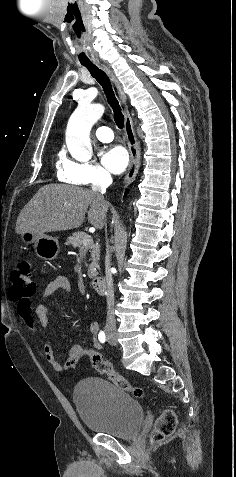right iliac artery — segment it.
Masks as SVG:
<instances>
[{
    "label": "right iliac artery",
    "instance_id": "1",
    "mask_svg": "<svg viewBox=\"0 0 236 477\" xmlns=\"http://www.w3.org/2000/svg\"><path fill=\"white\" fill-rule=\"evenodd\" d=\"M98 339H99V341H100L101 343H105V341H106V335H105L104 331H100V332H99Z\"/></svg>",
    "mask_w": 236,
    "mask_h": 477
}]
</instances>
